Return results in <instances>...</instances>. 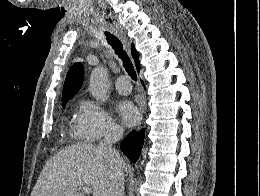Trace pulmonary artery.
<instances>
[{"label":"pulmonary artery","mask_w":260,"mask_h":196,"mask_svg":"<svg viewBox=\"0 0 260 196\" xmlns=\"http://www.w3.org/2000/svg\"><path fill=\"white\" fill-rule=\"evenodd\" d=\"M113 83L117 84L116 89L119 93L128 94L133 90V85H130V81L126 79V76H117Z\"/></svg>","instance_id":"1"}]
</instances>
